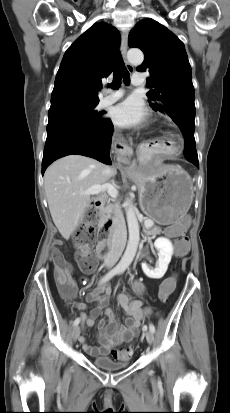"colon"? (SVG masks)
I'll return each instance as SVG.
<instances>
[{"label":"colon","instance_id":"5ec220e1","mask_svg":"<svg viewBox=\"0 0 230 413\" xmlns=\"http://www.w3.org/2000/svg\"><path fill=\"white\" fill-rule=\"evenodd\" d=\"M95 219L96 212L94 209H88L85 223L81 226L74 238V246L79 251L78 259L81 268L84 271H90L97 265V258L89 251V248L95 239ZM187 224L188 218L186 217H182L175 223V225L182 231L185 230ZM190 246L191 241L187 239V237L181 235L177 241V257L185 258L187 256V251L185 248H189ZM51 260L54 266V275L59 289L66 295H72L75 290V285L70 276L71 267L69 263L65 259L63 253L57 248L52 249ZM177 279L178 276L176 273H169L168 278L161 279L159 291V298L161 301H166L171 292L175 290ZM124 351L129 355L132 353L131 348H127L123 350V352Z\"/></svg>","mask_w":230,"mask_h":413}]
</instances>
